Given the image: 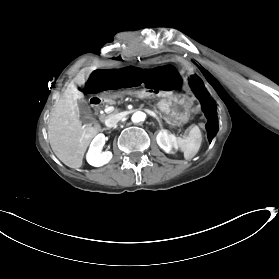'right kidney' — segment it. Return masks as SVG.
<instances>
[{"instance_id": "right-kidney-1", "label": "right kidney", "mask_w": 279, "mask_h": 279, "mask_svg": "<svg viewBox=\"0 0 279 279\" xmlns=\"http://www.w3.org/2000/svg\"><path fill=\"white\" fill-rule=\"evenodd\" d=\"M105 144V135L98 134L90 144L88 153L86 155L87 162L95 167L103 166L107 164L111 158L112 153L110 151L102 152L103 145Z\"/></svg>"}]
</instances>
